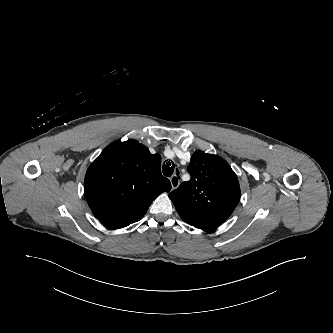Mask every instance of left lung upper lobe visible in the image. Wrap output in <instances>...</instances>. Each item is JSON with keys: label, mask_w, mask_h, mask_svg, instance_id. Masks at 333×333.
Here are the masks:
<instances>
[{"label": "left lung upper lobe", "mask_w": 333, "mask_h": 333, "mask_svg": "<svg viewBox=\"0 0 333 333\" xmlns=\"http://www.w3.org/2000/svg\"><path fill=\"white\" fill-rule=\"evenodd\" d=\"M188 172L191 179L169 194L174 205L235 208L239 203L237 176L224 159L197 151L191 157Z\"/></svg>", "instance_id": "5c2ea615"}]
</instances>
